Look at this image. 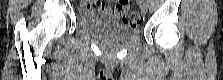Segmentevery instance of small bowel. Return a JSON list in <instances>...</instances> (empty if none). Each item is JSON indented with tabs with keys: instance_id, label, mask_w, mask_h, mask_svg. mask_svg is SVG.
Returning a JSON list of instances; mask_svg holds the SVG:
<instances>
[{
	"instance_id": "c3829d8e",
	"label": "small bowel",
	"mask_w": 223,
	"mask_h": 80,
	"mask_svg": "<svg viewBox=\"0 0 223 80\" xmlns=\"http://www.w3.org/2000/svg\"><path fill=\"white\" fill-rule=\"evenodd\" d=\"M82 14L91 17H101L110 20H116L121 16V13L116 8V4L114 7H110L108 4H98L92 6L90 3H85L81 7Z\"/></svg>"
}]
</instances>
